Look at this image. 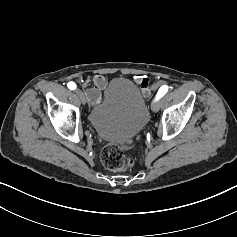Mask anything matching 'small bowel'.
Returning a JSON list of instances; mask_svg holds the SVG:
<instances>
[{
	"label": "small bowel",
	"mask_w": 237,
	"mask_h": 237,
	"mask_svg": "<svg viewBox=\"0 0 237 237\" xmlns=\"http://www.w3.org/2000/svg\"><path fill=\"white\" fill-rule=\"evenodd\" d=\"M135 80L140 85L142 91L145 94L150 93L151 89L148 78L144 76H138L135 78ZM107 83V79L101 74H96L93 77L86 78L83 81L85 94L89 102L96 104L101 100V92L106 88Z\"/></svg>",
	"instance_id": "1"
}]
</instances>
